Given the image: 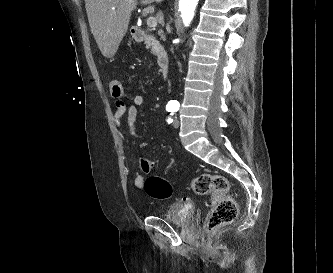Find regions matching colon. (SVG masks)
I'll return each mask as SVG.
<instances>
[{
    "label": "colon",
    "mask_w": 333,
    "mask_h": 273,
    "mask_svg": "<svg viewBox=\"0 0 333 273\" xmlns=\"http://www.w3.org/2000/svg\"><path fill=\"white\" fill-rule=\"evenodd\" d=\"M111 97L120 100L123 96V88L119 81L111 80L108 83ZM153 167L151 160L140 159L142 172L149 173ZM192 190L198 195H210L211 207L205 222V230L213 232L222 225L233 222L238 213L235 200L228 194L229 182L222 175L204 173L192 181ZM147 194L156 199H166L172 194L171 184L160 176H150L144 183Z\"/></svg>",
    "instance_id": "1"
}]
</instances>
